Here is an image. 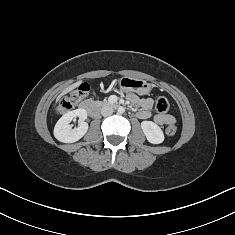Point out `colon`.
<instances>
[{"mask_svg": "<svg viewBox=\"0 0 235 235\" xmlns=\"http://www.w3.org/2000/svg\"><path fill=\"white\" fill-rule=\"evenodd\" d=\"M90 88L87 84H83L76 90L71 92L68 96L63 98L58 104L56 110L58 113H66L76 107V105L85 99L89 94ZM156 110L160 114H166L169 111L170 103L166 97H158L155 104ZM177 132V127L174 124H170L166 127L165 133L168 136H173Z\"/></svg>", "mask_w": 235, "mask_h": 235, "instance_id": "colon-1", "label": "colon"}]
</instances>
